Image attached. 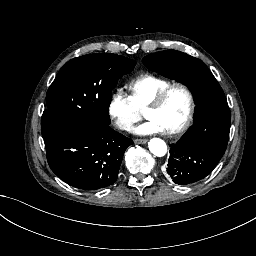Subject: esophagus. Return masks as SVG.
I'll return each instance as SVG.
<instances>
[{
	"instance_id": "obj_1",
	"label": "esophagus",
	"mask_w": 256,
	"mask_h": 256,
	"mask_svg": "<svg viewBox=\"0 0 256 256\" xmlns=\"http://www.w3.org/2000/svg\"><path fill=\"white\" fill-rule=\"evenodd\" d=\"M147 139H135L134 140V143L135 144H145V143H147Z\"/></svg>"
}]
</instances>
